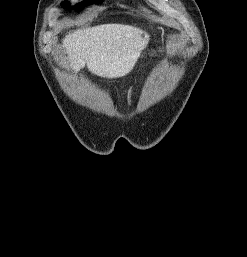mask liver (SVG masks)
<instances>
[{
	"label": "liver",
	"instance_id": "obj_1",
	"mask_svg": "<svg viewBox=\"0 0 247 257\" xmlns=\"http://www.w3.org/2000/svg\"><path fill=\"white\" fill-rule=\"evenodd\" d=\"M147 42L148 34L139 28L105 24L66 36L63 47L74 72L86 64L91 73L113 79L131 72Z\"/></svg>",
	"mask_w": 247,
	"mask_h": 257
}]
</instances>
